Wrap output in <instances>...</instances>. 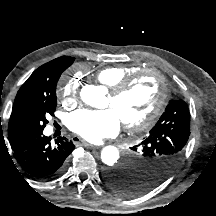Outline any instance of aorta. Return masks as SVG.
<instances>
[{
	"instance_id": "1",
	"label": "aorta",
	"mask_w": 216,
	"mask_h": 216,
	"mask_svg": "<svg viewBox=\"0 0 216 216\" xmlns=\"http://www.w3.org/2000/svg\"><path fill=\"white\" fill-rule=\"evenodd\" d=\"M106 92L102 87L87 86L83 87L80 92V96L83 102L86 104L99 107ZM119 159V151L115 146H106L101 151V160L108 166H113Z\"/></svg>"
}]
</instances>
